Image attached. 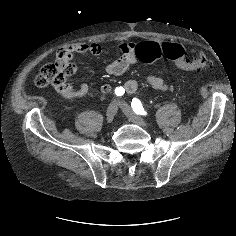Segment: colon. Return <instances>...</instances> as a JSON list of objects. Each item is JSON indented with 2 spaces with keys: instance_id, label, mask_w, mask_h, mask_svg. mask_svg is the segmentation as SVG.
I'll use <instances>...</instances> for the list:
<instances>
[{
  "instance_id": "5ec220e1",
  "label": "colon",
  "mask_w": 236,
  "mask_h": 236,
  "mask_svg": "<svg viewBox=\"0 0 236 236\" xmlns=\"http://www.w3.org/2000/svg\"><path fill=\"white\" fill-rule=\"evenodd\" d=\"M135 53L136 57L145 64L154 63L161 56H164L183 70H200L209 65L202 51H198L194 57L188 58L185 47L178 43L165 42L160 46L142 43L137 47ZM71 63L70 54L63 49L59 50L55 62L42 67L34 80L35 85L44 88L50 84H60L69 73Z\"/></svg>"
}]
</instances>
